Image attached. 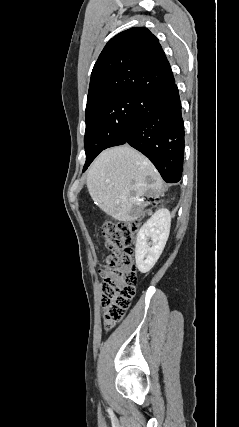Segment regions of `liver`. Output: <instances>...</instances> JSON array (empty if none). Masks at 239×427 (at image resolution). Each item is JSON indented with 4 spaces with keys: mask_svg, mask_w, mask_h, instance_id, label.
<instances>
[{
    "mask_svg": "<svg viewBox=\"0 0 239 427\" xmlns=\"http://www.w3.org/2000/svg\"><path fill=\"white\" fill-rule=\"evenodd\" d=\"M87 188L101 210L115 220L129 222L145 207L144 196L152 197L163 190V181L145 156L123 145L103 151L94 160L88 170Z\"/></svg>",
    "mask_w": 239,
    "mask_h": 427,
    "instance_id": "obj_1",
    "label": "liver"
}]
</instances>
